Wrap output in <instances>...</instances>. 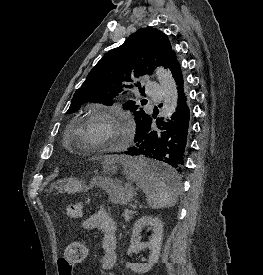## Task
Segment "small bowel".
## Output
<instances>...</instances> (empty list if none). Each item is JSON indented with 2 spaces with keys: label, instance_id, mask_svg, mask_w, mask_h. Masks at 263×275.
<instances>
[{
  "label": "small bowel",
  "instance_id": "1",
  "mask_svg": "<svg viewBox=\"0 0 263 275\" xmlns=\"http://www.w3.org/2000/svg\"><path fill=\"white\" fill-rule=\"evenodd\" d=\"M81 227L85 230L97 229L100 231L102 241L98 263L104 270H111L116 263L117 225L114 219L104 208H100L88 216L82 222ZM58 269L60 275H66L59 266Z\"/></svg>",
  "mask_w": 263,
  "mask_h": 275
}]
</instances>
